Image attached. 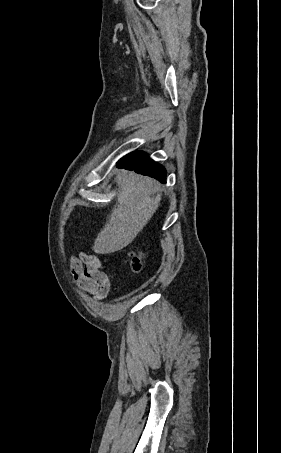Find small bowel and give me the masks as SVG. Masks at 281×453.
<instances>
[{
  "label": "small bowel",
  "instance_id": "1",
  "mask_svg": "<svg viewBox=\"0 0 281 453\" xmlns=\"http://www.w3.org/2000/svg\"><path fill=\"white\" fill-rule=\"evenodd\" d=\"M71 271L74 279L90 294L106 299L114 284L111 273L100 269L101 262L96 255L79 254L72 257Z\"/></svg>",
  "mask_w": 281,
  "mask_h": 453
}]
</instances>
